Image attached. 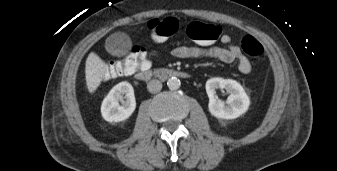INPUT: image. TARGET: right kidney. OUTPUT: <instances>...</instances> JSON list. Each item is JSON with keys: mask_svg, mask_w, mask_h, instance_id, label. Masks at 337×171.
Returning <instances> with one entry per match:
<instances>
[{"mask_svg": "<svg viewBox=\"0 0 337 171\" xmlns=\"http://www.w3.org/2000/svg\"><path fill=\"white\" fill-rule=\"evenodd\" d=\"M119 101L122 105L119 104ZM135 108L134 89L130 83L124 81L115 85L104 98L101 105V114L108 122H120L128 119Z\"/></svg>", "mask_w": 337, "mask_h": 171, "instance_id": "right-kidney-1", "label": "right kidney"}]
</instances>
